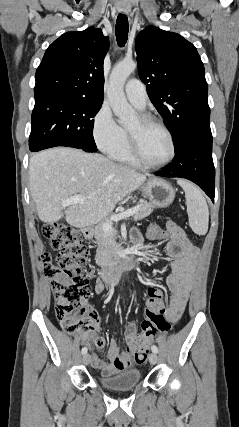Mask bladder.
I'll return each instance as SVG.
<instances>
[{
	"mask_svg": "<svg viewBox=\"0 0 239 427\" xmlns=\"http://www.w3.org/2000/svg\"><path fill=\"white\" fill-rule=\"evenodd\" d=\"M141 372L136 368L127 369L117 374L100 377L101 384L111 390H128L139 384Z\"/></svg>",
	"mask_w": 239,
	"mask_h": 427,
	"instance_id": "1",
	"label": "bladder"
}]
</instances>
